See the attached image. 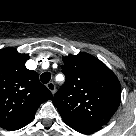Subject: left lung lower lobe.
Here are the masks:
<instances>
[{
	"instance_id": "0a47b994",
	"label": "left lung lower lobe",
	"mask_w": 136,
	"mask_h": 136,
	"mask_svg": "<svg viewBox=\"0 0 136 136\" xmlns=\"http://www.w3.org/2000/svg\"><path fill=\"white\" fill-rule=\"evenodd\" d=\"M95 131H98V129H85V130H81L80 132L84 133V134H90V133H93Z\"/></svg>"
}]
</instances>
